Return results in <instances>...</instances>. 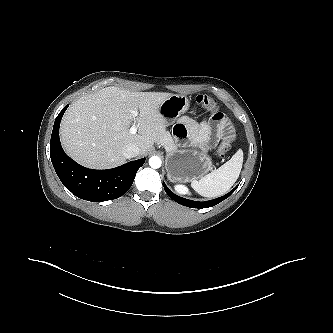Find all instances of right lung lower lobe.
I'll return each mask as SVG.
<instances>
[{"label": "right lung lower lobe", "instance_id": "right-lung-lower-lobe-1", "mask_svg": "<svg viewBox=\"0 0 333 333\" xmlns=\"http://www.w3.org/2000/svg\"><path fill=\"white\" fill-rule=\"evenodd\" d=\"M67 108L68 105L57 116L50 140V157L58 177L70 192L83 200L102 202L119 198L131 187L145 158L107 170L79 165L65 154L59 139L60 121Z\"/></svg>", "mask_w": 333, "mask_h": 333}]
</instances>
